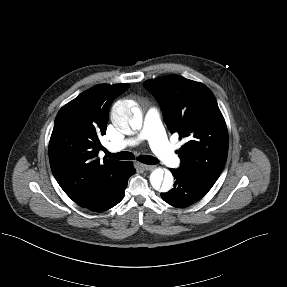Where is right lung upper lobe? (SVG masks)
<instances>
[{
  "label": "right lung upper lobe",
  "mask_w": 287,
  "mask_h": 287,
  "mask_svg": "<svg viewBox=\"0 0 287 287\" xmlns=\"http://www.w3.org/2000/svg\"><path fill=\"white\" fill-rule=\"evenodd\" d=\"M129 84H100L81 93L58 112L49 143L55 179L79 206L93 203L124 172L126 162L97 157L106 134L109 108Z\"/></svg>",
  "instance_id": "right-lung-upper-lobe-1"
}]
</instances>
